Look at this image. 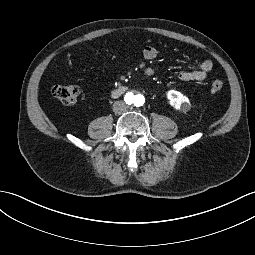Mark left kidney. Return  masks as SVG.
I'll list each match as a JSON object with an SVG mask.
<instances>
[{"label":"left kidney","instance_id":"5707ae66","mask_svg":"<svg viewBox=\"0 0 255 255\" xmlns=\"http://www.w3.org/2000/svg\"><path fill=\"white\" fill-rule=\"evenodd\" d=\"M170 106L176 110H187L189 108V99L177 90H169L166 93Z\"/></svg>","mask_w":255,"mask_h":255}]
</instances>
